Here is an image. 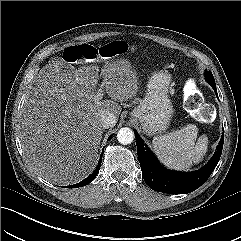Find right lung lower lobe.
Returning <instances> with one entry per match:
<instances>
[{
    "instance_id": "right-lung-lower-lobe-1",
    "label": "right lung lower lobe",
    "mask_w": 241,
    "mask_h": 241,
    "mask_svg": "<svg viewBox=\"0 0 241 241\" xmlns=\"http://www.w3.org/2000/svg\"><path fill=\"white\" fill-rule=\"evenodd\" d=\"M102 155L103 153L101 154V157H100V160L98 162V165L96 167V169L93 171V173L91 175H89L86 179H84L83 181L79 182L78 184H75V185H71V186H68L69 188H78V187H82V186H85L87 184H89L98 174L99 172V169H100V165H101V160H102Z\"/></svg>"
}]
</instances>
